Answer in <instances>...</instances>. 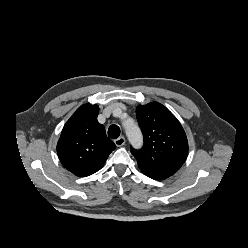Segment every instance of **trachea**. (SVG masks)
I'll return each mask as SVG.
<instances>
[{"label":"trachea","instance_id":"trachea-1","mask_svg":"<svg viewBox=\"0 0 248 248\" xmlns=\"http://www.w3.org/2000/svg\"><path fill=\"white\" fill-rule=\"evenodd\" d=\"M108 136L117 139L120 136V128L117 125H111L108 129Z\"/></svg>","mask_w":248,"mask_h":248}]
</instances>
